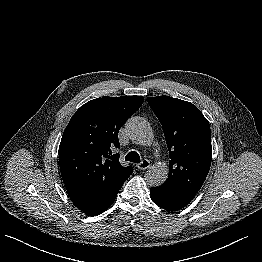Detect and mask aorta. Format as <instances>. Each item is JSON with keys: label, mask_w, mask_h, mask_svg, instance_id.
Here are the masks:
<instances>
[{"label": "aorta", "mask_w": 262, "mask_h": 262, "mask_svg": "<svg viewBox=\"0 0 262 262\" xmlns=\"http://www.w3.org/2000/svg\"><path fill=\"white\" fill-rule=\"evenodd\" d=\"M129 138L136 144L147 146L153 142V131L149 123L140 117L130 118L125 125ZM168 178V167L165 163H155L145 173V180L153 187L161 186Z\"/></svg>", "instance_id": "762f6f07"}]
</instances>
